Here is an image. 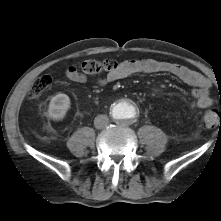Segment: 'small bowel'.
<instances>
[{
	"mask_svg": "<svg viewBox=\"0 0 221 221\" xmlns=\"http://www.w3.org/2000/svg\"><path fill=\"white\" fill-rule=\"evenodd\" d=\"M152 73L169 74L193 86L194 90L192 91V96L194 98L193 106L195 108L205 109L213 105V99L209 95L212 83L208 78L186 66L169 62L151 59H128L120 63L115 71L100 78L98 83L100 85H105L109 82L121 80L134 74ZM65 77L68 81L74 83H84L86 81V76L74 67H69L67 69Z\"/></svg>",
	"mask_w": 221,
	"mask_h": 221,
	"instance_id": "1",
	"label": "small bowel"
}]
</instances>
